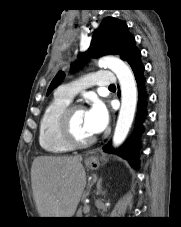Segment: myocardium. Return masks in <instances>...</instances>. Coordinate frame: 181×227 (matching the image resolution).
Instances as JSON below:
<instances>
[{
  "mask_svg": "<svg viewBox=\"0 0 181 227\" xmlns=\"http://www.w3.org/2000/svg\"><path fill=\"white\" fill-rule=\"evenodd\" d=\"M84 106L81 104H69L61 113L58 120L59 133L62 139L72 147H87L96 141L95 136L89 138L78 137L73 130L72 119L73 114L77 110H84Z\"/></svg>",
  "mask_w": 181,
  "mask_h": 227,
  "instance_id": "f54148a6",
  "label": "myocardium"
}]
</instances>
